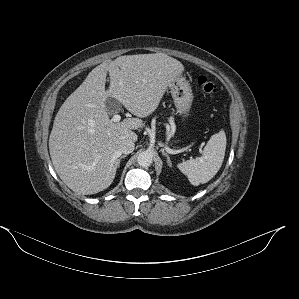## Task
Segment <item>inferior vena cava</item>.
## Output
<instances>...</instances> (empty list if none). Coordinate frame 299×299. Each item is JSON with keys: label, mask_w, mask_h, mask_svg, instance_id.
<instances>
[{"label": "inferior vena cava", "mask_w": 299, "mask_h": 299, "mask_svg": "<svg viewBox=\"0 0 299 299\" xmlns=\"http://www.w3.org/2000/svg\"><path fill=\"white\" fill-rule=\"evenodd\" d=\"M135 144L131 139H122L118 144V152L120 154H130L133 152Z\"/></svg>", "instance_id": "inferior-vena-cava-1"}]
</instances>
